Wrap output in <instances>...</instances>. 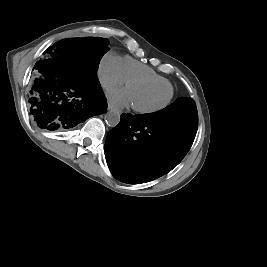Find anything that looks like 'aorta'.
I'll list each match as a JSON object with an SVG mask.
<instances>
[{
	"mask_svg": "<svg viewBox=\"0 0 267 267\" xmlns=\"http://www.w3.org/2000/svg\"><path fill=\"white\" fill-rule=\"evenodd\" d=\"M105 122L110 127H115L120 122V113L117 111H109L105 115Z\"/></svg>",
	"mask_w": 267,
	"mask_h": 267,
	"instance_id": "762f6f07",
	"label": "aorta"
}]
</instances>
